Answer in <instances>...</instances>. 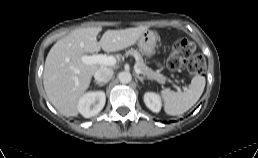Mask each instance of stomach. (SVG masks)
<instances>
[{"label":"stomach","instance_id":"obj_1","mask_svg":"<svg viewBox=\"0 0 258 158\" xmlns=\"http://www.w3.org/2000/svg\"><path fill=\"white\" fill-rule=\"evenodd\" d=\"M156 42H157V35L153 31H145L139 37L137 41V45H138L139 51L143 55L150 58L154 54Z\"/></svg>","mask_w":258,"mask_h":158}]
</instances>
